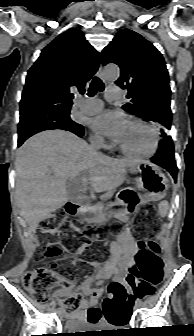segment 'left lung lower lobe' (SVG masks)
I'll list each match as a JSON object with an SVG mask.
<instances>
[{"mask_svg":"<svg viewBox=\"0 0 194 336\" xmlns=\"http://www.w3.org/2000/svg\"><path fill=\"white\" fill-rule=\"evenodd\" d=\"M151 161L171 173L175 182L177 181V166L174 158L173 141L169 136L163 138L159 143V150Z\"/></svg>","mask_w":194,"mask_h":336,"instance_id":"left-lung-lower-lobe-1","label":"left lung lower lobe"}]
</instances>
